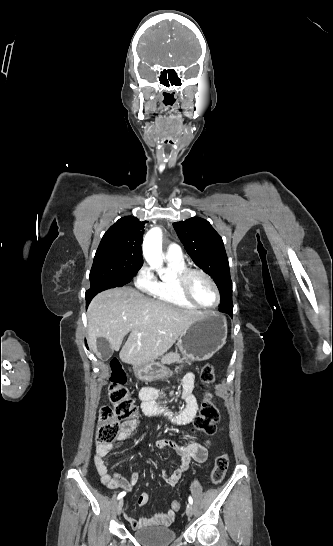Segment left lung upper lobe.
<instances>
[{
  "instance_id": "1",
  "label": "left lung upper lobe",
  "mask_w": 333,
  "mask_h": 546,
  "mask_svg": "<svg viewBox=\"0 0 333 546\" xmlns=\"http://www.w3.org/2000/svg\"><path fill=\"white\" fill-rule=\"evenodd\" d=\"M173 226L194 263L217 284L221 295L219 311L232 317V281L222 238L207 220L200 217Z\"/></svg>"
}]
</instances>
